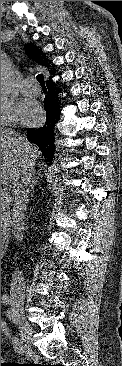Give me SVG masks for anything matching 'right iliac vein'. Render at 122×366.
I'll use <instances>...</instances> for the list:
<instances>
[{
	"label": "right iliac vein",
	"instance_id": "obj_1",
	"mask_svg": "<svg viewBox=\"0 0 122 366\" xmlns=\"http://www.w3.org/2000/svg\"><path fill=\"white\" fill-rule=\"evenodd\" d=\"M13 319L19 325L21 336L26 343L25 346L30 347L31 328L29 323L26 321L24 314L17 308L14 307Z\"/></svg>",
	"mask_w": 122,
	"mask_h": 366
}]
</instances>
